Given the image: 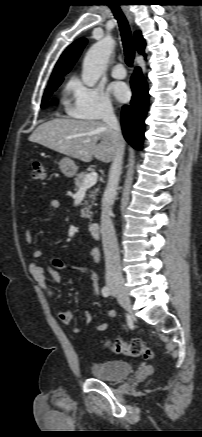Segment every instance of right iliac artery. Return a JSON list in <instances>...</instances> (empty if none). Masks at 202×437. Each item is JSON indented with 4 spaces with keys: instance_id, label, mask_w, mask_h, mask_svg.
<instances>
[{
    "instance_id": "obj_1",
    "label": "right iliac artery",
    "mask_w": 202,
    "mask_h": 437,
    "mask_svg": "<svg viewBox=\"0 0 202 437\" xmlns=\"http://www.w3.org/2000/svg\"><path fill=\"white\" fill-rule=\"evenodd\" d=\"M102 295L104 296V297H108L109 295H110V288L109 287H107V286H104L103 288H102Z\"/></svg>"
}]
</instances>
